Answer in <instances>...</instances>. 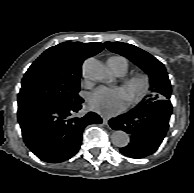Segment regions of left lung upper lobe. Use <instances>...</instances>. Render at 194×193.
<instances>
[{
	"label": "left lung upper lobe",
	"instance_id": "5c2ea615",
	"mask_svg": "<svg viewBox=\"0 0 194 193\" xmlns=\"http://www.w3.org/2000/svg\"><path fill=\"white\" fill-rule=\"evenodd\" d=\"M106 47L115 53H119L141 67L150 77V89L152 94L145 97L136 107L152 102L170 99L171 85L164 65L146 51L127 43L106 42Z\"/></svg>",
	"mask_w": 194,
	"mask_h": 193
}]
</instances>
